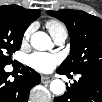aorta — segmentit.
Here are the masks:
<instances>
[{"instance_id": "1", "label": "aorta", "mask_w": 102, "mask_h": 102, "mask_svg": "<svg viewBox=\"0 0 102 102\" xmlns=\"http://www.w3.org/2000/svg\"><path fill=\"white\" fill-rule=\"evenodd\" d=\"M31 45L36 50L44 51L52 47L50 37L41 31L35 32L31 36ZM50 90L55 95H62L65 92V83L60 79H55L50 83Z\"/></svg>"}]
</instances>
